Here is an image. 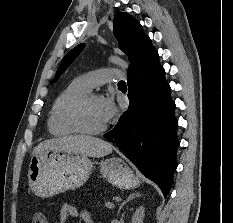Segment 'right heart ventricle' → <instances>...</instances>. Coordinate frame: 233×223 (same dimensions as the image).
Segmentation results:
<instances>
[{
	"label": "right heart ventricle",
	"instance_id": "e07e8e85",
	"mask_svg": "<svg viewBox=\"0 0 233 223\" xmlns=\"http://www.w3.org/2000/svg\"><path fill=\"white\" fill-rule=\"evenodd\" d=\"M89 92L79 80H73L56 97L48 118V130L54 137H67L77 134L69 122L73 106Z\"/></svg>",
	"mask_w": 233,
	"mask_h": 223
}]
</instances>
